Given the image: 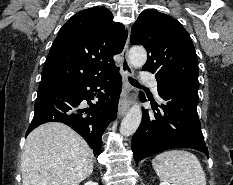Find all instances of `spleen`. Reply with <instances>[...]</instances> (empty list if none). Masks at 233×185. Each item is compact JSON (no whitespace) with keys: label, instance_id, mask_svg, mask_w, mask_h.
Here are the masks:
<instances>
[{"label":"spleen","instance_id":"obj_1","mask_svg":"<svg viewBox=\"0 0 233 185\" xmlns=\"http://www.w3.org/2000/svg\"><path fill=\"white\" fill-rule=\"evenodd\" d=\"M152 166L163 182L172 185H206L205 172L198 158L191 152H162L152 160Z\"/></svg>","mask_w":233,"mask_h":185}]
</instances>
